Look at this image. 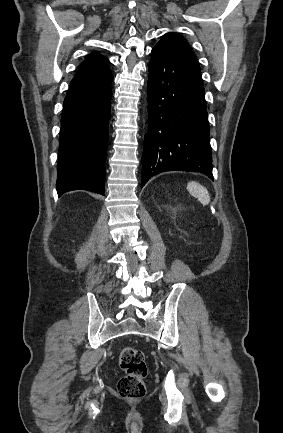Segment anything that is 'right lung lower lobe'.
I'll return each instance as SVG.
<instances>
[{
    "mask_svg": "<svg viewBox=\"0 0 283 433\" xmlns=\"http://www.w3.org/2000/svg\"><path fill=\"white\" fill-rule=\"evenodd\" d=\"M113 75L70 85L59 137L57 192L85 189L104 195Z\"/></svg>",
    "mask_w": 283,
    "mask_h": 433,
    "instance_id": "obj_1",
    "label": "right lung lower lobe"
}]
</instances>
